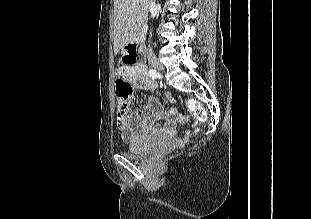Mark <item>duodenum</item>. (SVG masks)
I'll return each instance as SVG.
<instances>
[{
	"mask_svg": "<svg viewBox=\"0 0 311 219\" xmlns=\"http://www.w3.org/2000/svg\"><path fill=\"white\" fill-rule=\"evenodd\" d=\"M145 43V29L141 28L136 35L134 41H132L128 46V52L129 54L138 56L140 53H142Z\"/></svg>",
	"mask_w": 311,
	"mask_h": 219,
	"instance_id": "1",
	"label": "duodenum"
}]
</instances>
